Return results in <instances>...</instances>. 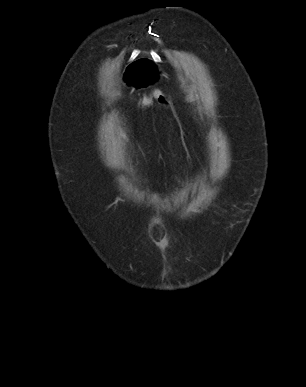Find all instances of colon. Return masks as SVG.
<instances>
[{"label": "colon", "instance_id": "colon-1", "mask_svg": "<svg viewBox=\"0 0 306 387\" xmlns=\"http://www.w3.org/2000/svg\"><path fill=\"white\" fill-rule=\"evenodd\" d=\"M152 98H155L157 99L158 101L162 102L163 99H162V96H161V93L158 91V90H155L153 91V93L151 94L150 97H148L144 103V105L148 106L152 100Z\"/></svg>", "mask_w": 306, "mask_h": 387}]
</instances>
